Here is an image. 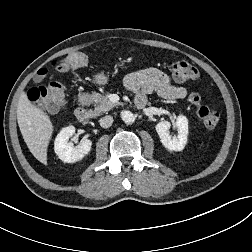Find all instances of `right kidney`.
<instances>
[{
  "instance_id": "1",
  "label": "right kidney",
  "mask_w": 252,
  "mask_h": 252,
  "mask_svg": "<svg viewBox=\"0 0 252 252\" xmlns=\"http://www.w3.org/2000/svg\"><path fill=\"white\" fill-rule=\"evenodd\" d=\"M75 133L74 126L63 128L57 135L54 142V151L56 155L65 163H75L86 156L92 146V141L89 139H82L80 145L74 147L69 138Z\"/></svg>"
}]
</instances>
